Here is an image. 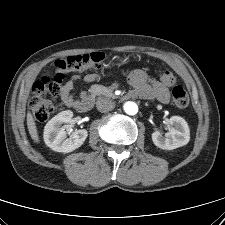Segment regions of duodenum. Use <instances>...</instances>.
Instances as JSON below:
<instances>
[{"label":"duodenum","instance_id":"1","mask_svg":"<svg viewBox=\"0 0 225 225\" xmlns=\"http://www.w3.org/2000/svg\"><path fill=\"white\" fill-rule=\"evenodd\" d=\"M93 104H94L93 97L85 96L76 102L74 108L80 113H85L88 112L93 107Z\"/></svg>","mask_w":225,"mask_h":225}]
</instances>
